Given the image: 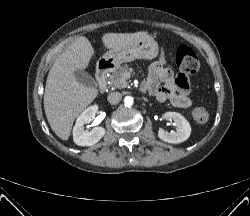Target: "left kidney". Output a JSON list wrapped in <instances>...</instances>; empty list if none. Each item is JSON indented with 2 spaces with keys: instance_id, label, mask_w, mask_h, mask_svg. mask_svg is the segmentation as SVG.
<instances>
[{
  "instance_id": "5707ae66",
  "label": "left kidney",
  "mask_w": 250,
  "mask_h": 216,
  "mask_svg": "<svg viewBox=\"0 0 250 216\" xmlns=\"http://www.w3.org/2000/svg\"><path fill=\"white\" fill-rule=\"evenodd\" d=\"M164 117L175 122L176 131L169 133L163 129H159L158 137L162 141L171 144H179L186 141L190 137L191 126L184 116L177 112H166Z\"/></svg>"
}]
</instances>
